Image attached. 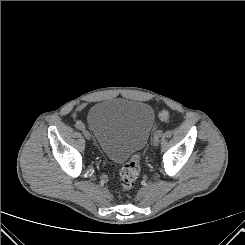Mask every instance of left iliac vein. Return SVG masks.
I'll use <instances>...</instances> for the list:
<instances>
[{
    "label": "left iliac vein",
    "mask_w": 245,
    "mask_h": 245,
    "mask_svg": "<svg viewBox=\"0 0 245 245\" xmlns=\"http://www.w3.org/2000/svg\"><path fill=\"white\" fill-rule=\"evenodd\" d=\"M159 142H160L159 137L158 136H155L153 138L152 144H153V146H158Z\"/></svg>",
    "instance_id": "obj_1"
}]
</instances>
